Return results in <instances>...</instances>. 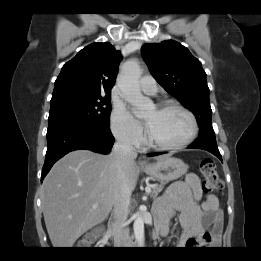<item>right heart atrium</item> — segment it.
<instances>
[{
	"label": "right heart atrium",
	"mask_w": 261,
	"mask_h": 261,
	"mask_svg": "<svg viewBox=\"0 0 261 261\" xmlns=\"http://www.w3.org/2000/svg\"><path fill=\"white\" fill-rule=\"evenodd\" d=\"M110 127L115 138L126 146H139L144 140V130L123 104H116L111 112Z\"/></svg>",
	"instance_id": "right-heart-atrium-1"
}]
</instances>
